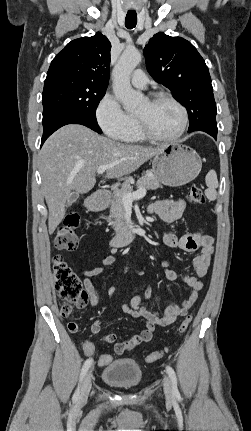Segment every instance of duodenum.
Masks as SVG:
<instances>
[{
	"instance_id": "duodenum-1",
	"label": "duodenum",
	"mask_w": 251,
	"mask_h": 431,
	"mask_svg": "<svg viewBox=\"0 0 251 431\" xmlns=\"http://www.w3.org/2000/svg\"><path fill=\"white\" fill-rule=\"evenodd\" d=\"M100 204L99 197H93L89 201V207L92 210L97 209ZM135 233L133 229H125L111 240V245L114 247H123L129 244L134 239Z\"/></svg>"
}]
</instances>
